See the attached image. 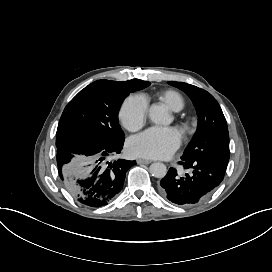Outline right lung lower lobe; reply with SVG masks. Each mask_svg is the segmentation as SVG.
Instances as JSON below:
<instances>
[{"label": "right lung lower lobe", "mask_w": 272, "mask_h": 272, "mask_svg": "<svg viewBox=\"0 0 272 272\" xmlns=\"http://www.w3.org/2000/svg\"><path fill=\"white\" fill-rule=\"evenodd\" d=\"M124 141L107 145L90 139H77L57 147L61 181L81 204L98 208L107 205L122 190L126 172L135 161L110 156L120 154Z\"/></svg>", "instance_id": "right-lung-lower-lobe-1"}]
</instances>
